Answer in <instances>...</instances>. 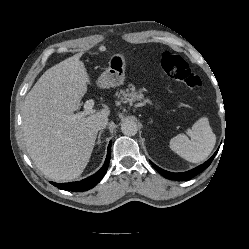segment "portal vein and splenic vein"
<instances>
[{
  "label": "portal vein and splenic vein",
  "instance_id": "obj_1",
  "mask_svg": "<svg viewBox=\"0 0 249 249\" xmlns=\"http://www.w3.org/2000/svg\"><path fill=\"white\" fill-rule=\"evenodd\" d=\"M93 106H94V100H92V99L87 100L84 104V111L79 112L77 114H73L69 118L76 119V118H81V117L87 116L90 113H94L95 110L93 109Z\"/></svg>",
  "mask_w": 249,
  "mask_h": 249
}]
</instances>
